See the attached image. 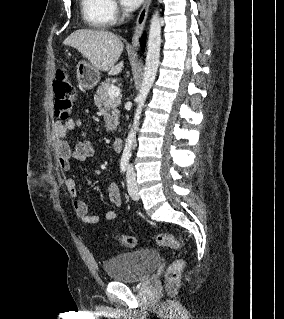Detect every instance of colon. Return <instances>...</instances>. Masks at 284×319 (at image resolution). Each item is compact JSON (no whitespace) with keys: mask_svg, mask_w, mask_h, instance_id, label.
<instances>
[{"mask_svg":"<svg viewBox=\"0 0 284 319\" xmlns=\"http://www.w3.org/2000/svg\"><path fill=\"white\" fill-rule=\"evenodd\" d=\"M54 89V108L58 118L63 121L68 120L71 115L76 92L71 84L68 76L63 71H58L53 82ZM112 238L126 247H135L137 239L133 236L114 235ZM154 241L158 246H165L173 250L180 249V242L171 234L159 233L154 236ZM184 268V261L181 259L175 260L166 271L167 287L170 288L177 283L180 274Z\"/></svg>","mask_w":284,"mask_h":319,"instance_id":"obj_1","label":"colon"}]
</instances>
